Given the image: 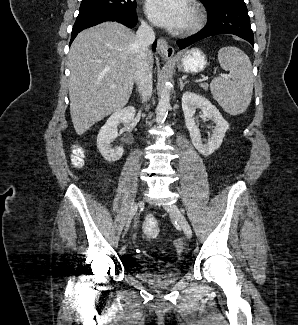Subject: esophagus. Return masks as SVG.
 <instances>
[{"label": "esophagus", "instance_id": "1", "mask_svg": "<svg viewBox=\"0 0 298 325\" xmlns=\"http://www.w3.org/2000/svg\"><path fill=\"white\" fill-rule=\"evenodd\" d=\"M157 52L162 58L170 59L174 55V49L164 38H159L157 42Z\"/></svg>", "mask_w": 298, "mask_h": 325}]
</instances>
